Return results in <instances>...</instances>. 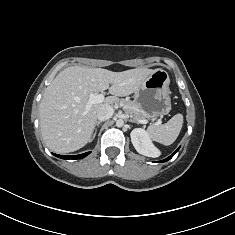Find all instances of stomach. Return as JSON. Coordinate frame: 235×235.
Wrapping results in <instances>:
<instances>
[{
  "instance_id": "1",
  "label": "stomach",
  "mask_w": 235,
  "mask_h": 235,
  "mask_svg": "<svg viewBox=\"0 0 235 235\" xmlns=\"http://www.w3.org/2000/svg\"><path fill=\"white\" fill-rule=\"evenodd\" d=\"M170 79L165 70H156L135 91L134 102L148 115L161 118L171 110Z\"/></svg>"
}]
</instances>
